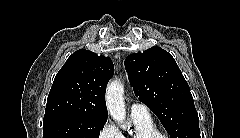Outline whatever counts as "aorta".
Here are the masks:
<instances>
[{
	"label": "aorta",
	"instance_id": "obj_1",
	"mask_svg": "<svg viewBox=\"0 0 240 138\" xmlns=\"http://www.w3.org/2000/svg\"><path fill=\"white\" fill-rule=\"evenodd\" d=\"M124 86L117 80H111L106 89V104L111 117L119 124L125 120Z\"/></svg>",
	"mask_w": 240,
	"mask_h": 138
}]
</instances>
